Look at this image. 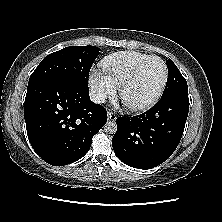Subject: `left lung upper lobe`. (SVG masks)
I'll use <instances>...</instances> for the list:
<instances>
[{
	"mask_svg": "<svg viewBox=\"0 0 222 222\" xmlns=\"http://www.w3.org/2000/svg\"><path fill=\"white\" fill-rule=\"evenodd\" d=\"M166 63L168 68V78L163 95L179 91L188 92L187 82L177 66L171 60H167Z\"/></svg>",
	"mask_w": 222,
	"mask_h": 222,
	"instance_id": "1",
	"label": "left lung upper lobe"
}]
</instances>
